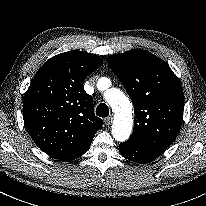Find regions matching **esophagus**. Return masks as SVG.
Masks as SVG:
<instances>
[{
    "label": "esophagus",
    "mask_w": 206,
    "mask_h": 206,
    "mask_svg": "<svg viewBox=\"0 0 206 206\" xmlns=\"http://www.w3.org/2000/svg\"><path fill=\"white\" fill-rule=\"evenodd\" d=\"M112 121H113V118L111 116L104 119V123L106 125H111Z\"/></svg>",
    "instance_id": "obj_1"
}]
</instances>
